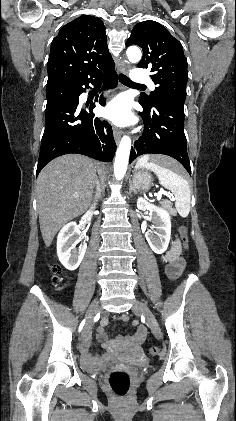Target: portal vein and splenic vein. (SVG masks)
Instances as JSON below:
<instances>
[{
	"mask_svg": "<svg viewBox=\"0 0 236 421\" xmlns=\"http://www.w3.org/2000/svg\"><path fill=\"white\" fill-rule=\"evenodd\" d=\"M161 194H165V197L166 198H169V197H171V198H174L175 197V194L174 193H170V192H161V190H159V192H158V194H157V198H158V200H160V198H161ZM73 196H74V198H78V196H79V194H73Z\"/></svg>",
	"mask_w": 236,
	"mask_h": 421,
	"instance_id": "obj_1",
	"label": "portal vein and splenic vein"
}]
</instances>
